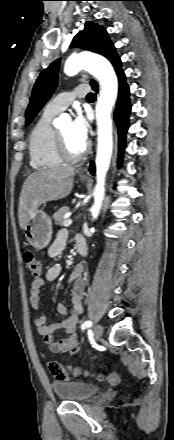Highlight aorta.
<instances>
[{
	"label": "aorta",
	"mask_w": 174,
	"mask_h": 440,
	"mask_svg": "<svg viewBox=\"0 0 174 440\" xmlns=\"http://www.w3.org/2000/svg\"><path fill=\"white\" fill-rule=\"evenodd\" d=\"M86 69L101 83V93L96 105L98 145L96 155V186L94 204L91 208L93 219L100 213L105 196V179L109 169L113 149L111 112L118 95V79L111 63L103 56L80 53L69 57L64 66L67 76H74ZM59 122L56 120V123Z\"/></svg>",
	"instance_id": "1"
}]
</instances>
